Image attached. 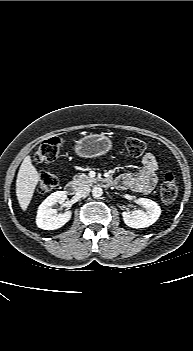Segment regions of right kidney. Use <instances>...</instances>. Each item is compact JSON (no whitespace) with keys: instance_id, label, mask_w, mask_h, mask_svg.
Instances as JSON below:
<instances>
[{"instance_id":"ca27d5eb","label":"right kidney","mask_w":193,"mask_h":351,"mask_svg":"<svg viewBox=\"0 0 193 351\" xmlns=\"http://www.w3.org/2000/svg\"><path fill=\"white\" fill-rule=\"evenodd\" d=\"M67 199L65 191H56L49 195L39 206L36 216V224L44 230H55L64 226L71 218V211L57 214L53 205L62 204Z\"/></svg>"}]
</instances>
